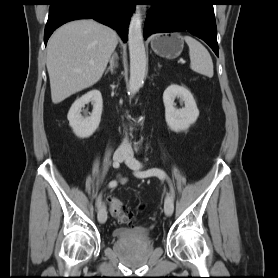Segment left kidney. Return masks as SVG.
I'll use <instances>...</instances> for the list:
<instances>
[{
	"instance_id": "1",
	"label": "left kidney",
	"mask_w": 278,
	"mask_h": 278,
	"mask_svg": "<svg viewBox=\"0 0 278 278\" xmlns=\"http://www.w3.org/2000/svg\"><path fill=\"white\" fill-rule=\"evenodd\" d=\"M179 98L185 106L181 109L175 108L174 100ZM165 106V120L172 131L180 132L187 130L194 124L199 116V110L191 92L176 84H171L163 93Z\"/></svg>"
}]
</instances>
